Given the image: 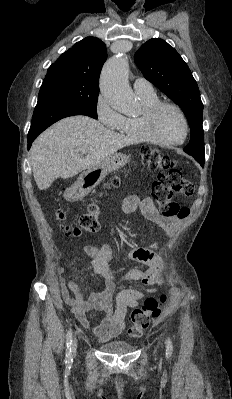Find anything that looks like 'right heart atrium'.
Wrapping results in <instances>:
<instances>
[{
	"label": "right heart atrium",
	"instance_id": "1",
	"mask_svg": "<svg viewBox=\"0 0 232 399\" xmlns=\"http://www.w3.org/2000/svg\"><path fill=\"white\" fill-rule=\"evenodd\" d=\"M109 104L125 103H105V96H101L95 107V114L97 120H101V125H109V129H115L123 115L113 110Z\"/></svg>",
	"mask_w": 232,
	"mask_h": 399
}]
</instances>
